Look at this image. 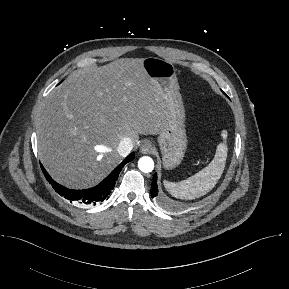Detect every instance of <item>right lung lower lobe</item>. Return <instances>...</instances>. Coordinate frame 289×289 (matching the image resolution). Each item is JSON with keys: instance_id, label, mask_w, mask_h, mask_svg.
<instances>
[{"instance_id": "98d812e1", "label": "right lung lower lobe", "mask_w": 289, "mask_h": 289, "mask_svg": "<svg viewBox=\"0 0 289 289\" xmlns=\"http://www.w3.org/2000/svg\"><path fill=\"white\" fill-rule=\"evenodd\" d=\"M133 159L134 152L128 155L124 159V161L119 164L100 184L93 188L84 190L67 189L64 186L56 183L42 165L41 169L46 179L49 181V183L59 195L70 200V202L76 201L78 203L95 205L96 203L103 201L111 193V190L114 188L115 182L118 179L120 171L126 163L132 161Z\"/></svg>"}]
</instances>
